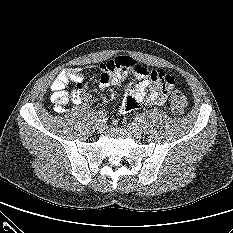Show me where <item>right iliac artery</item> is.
<instances>
[{
    "instance_id": "82829eb1",
    "label": "right iliac artery",
    "mask_w": 233,
    "mask_h": 233,
    "mask_svg": "<svg viewBox=\"0 0 233 233\" xmlns=\"http://www.w3.org/2000/svg\"><path fill=\"white\" fill-rule=\"evenodd\" d=\"M97 117H98L99 120L104 118V113L103 112H98Z\"/></svg>"
}]
</instances>
